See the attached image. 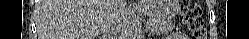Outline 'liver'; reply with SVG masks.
Segmentation results:
<instances>
[{
  "label": "liver",
  "instance_id": "liver-1",
  "mask_svg": "<svg viewBox=\"0 0 249 39\" xmlns=\"http://www.w3.org/2000/svg\"><path fill=\"white\" fill-rule=\"evenodd\" d=\"M113 10L121 20L124 2L115 6L114 0H40L38 39H95Z\"/></svg>",
  "mask_w": 249,
  "mask_h": 39
}]
</instances>
